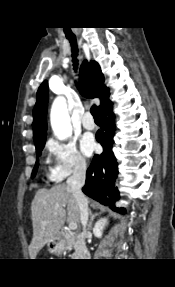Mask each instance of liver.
Masks as SVG:
<instances>
[{
    "instance_id": "liver-1",
    "label": "liver",
    "mask_w": 175,
    "mask_h": 287,
    "mask_svg": "<svg viewBox=\"0 0 175 287\" xmlns=\"http://www.w3.org/2000/svg\"><path fill=\"white\" fill-rule=\"evenodd\" d=\"M33 238L29 255L35 259L38 252L58 235L65 222H80L78 204L68 186L59 184L36 192L31 204Z\"/></svg>"
}]
</instances>
